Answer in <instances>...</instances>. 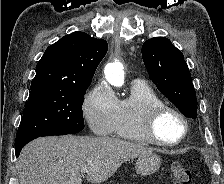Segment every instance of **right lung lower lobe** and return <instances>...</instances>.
<instances>
[{"label": "right lung lower lobe", "mask_w": 224, "mask_h": 184, "mask_svg": "<svg viewBox=\"0 0 224 184\" xmlns=\"http://www.w3.org/2000/svg\"><path fill=\"white\" fill-rule=\"evenodd\" d=\"M50 135H67V134H43V135H38V136L32 137V138L28 139L27 141H25V142H23V143H21V144H19V145H15L16 157L19 156L20 151L22 150V148H23L28 142H30V141H32V140H34V139H36V138H38V137H40V136H50Z\"/></svg>", "instance_id": "98d812e1"}]
</instances>
